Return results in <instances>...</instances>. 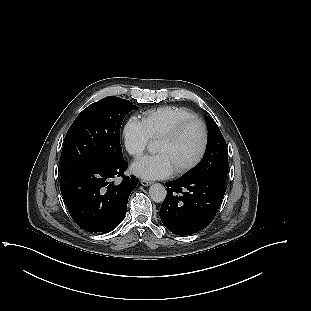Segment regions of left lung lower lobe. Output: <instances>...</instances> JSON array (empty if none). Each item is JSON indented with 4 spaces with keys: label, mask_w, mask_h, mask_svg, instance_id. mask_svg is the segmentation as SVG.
I'll return each mask as SVG.
<instances>
[{
    "label": "left lung lower lobe",
    "mask_w": 311,
    "mask_h": 311,
    "mask_svg": "<svg viewBox=\"0 0 311 311\" xmlns=\"http://www.w3.org/2000/svg\"><path fill=\"white\" fill-rule=\"evenodd\" d=\"M166 186L160 218L177 235H190L207 227L225 194V185L212 178L181 177Z\"/></svg>",
    "instance_id": "obj_1"
}]
</instances>
